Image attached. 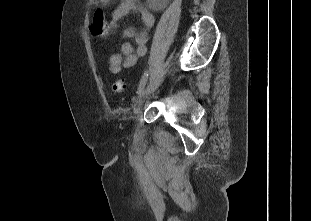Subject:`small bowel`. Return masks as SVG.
Listing matches in <instances>:
<instances>
[{
    "label": "small bowel",
    "instance_id": "1",
    "mask_svg": "<svg viewBox=\"0 0 311 221\" xmlns=\"http://www.w3.org/2000/svg\"><path fill=\"white\" fill-rule=\"evenodd\" d=\"M131 11H137L140 14V19L144 29L141 31H136L132 28L125 30L124 36L128 39H133L136 45L134 46L129 42H125L121 45L118 52L110 56V70L113 73L120 72L122 68L134 66L147 51V31L153 26L154 17L144 8L141 0H122L112 13L110 28L115 30L117 28L118 21Z\"/></svg>",
    "mask_w": 311,
    "mask_h": 221
}]
</instances>
